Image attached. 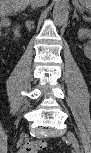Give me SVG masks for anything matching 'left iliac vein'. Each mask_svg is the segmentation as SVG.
<instances>
[{
    "mask_svg": "<svg viewBox=\"0 0 91 153\" xmlns=\"http://www.w3.org/2000/svg\"><path fill=\"white\" fill-rule=\"evenodd\" d=\"M68 141L72 144L76 153H82L79 142L75 135L71 132H67L66 134Z\"/></svg>",
    "mask_w": 91,
    "mask_h": 153,
    "instance_id": "4c4485c4",
    "label": "left iliac vein"
}]
</instances>
